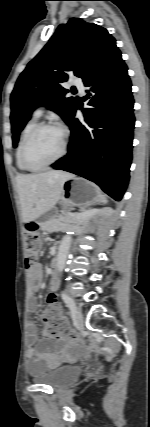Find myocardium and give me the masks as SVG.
I'll list each match as a JSON object with an SVG mask.
<instances>
[{
    "mask_svg": "<svg viewBox=\"0 0 150 427\" xmlns=\"http://www.w3.org/2000/svg\"><path fill=\"white\" fill-rule=\"evenodd\" d=\"M42 129H57V130L62 132V134H63L62 150H61L60 154L56 158H54L52 161H50V162H48L42 166H39V167H31L27 163V160H26L27 147H28L31 139L33 138V136ZM68 146H69L68 134L63 127H61L58 124L50 123V122L38 123L29 131V133L26 135V137L23 141V144L21 147V162L27 171L37 172V171L44 170V169L52 166L53 164L57 163L58 161H60L62 158H64L68 152Z\"/></svg>",
    "mask_w": 150,
    "mask_h": 427,
    "instance_id": "f54148a6",
    "label": "myocardium"
}]
</instances>
